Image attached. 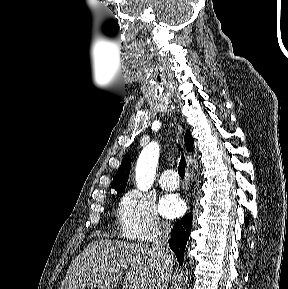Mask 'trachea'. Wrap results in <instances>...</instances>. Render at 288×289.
<instances>
[{"mask_svg": "<svg viewBox=\"0 0 288 289\" xmlns=\"http://www.w3.org/2000/svg\"><path fill=\"white\" fill-rule=\"evenodd\" d=\"M185 168H186V161L185 158L182 156L178 166V174L182 178H184L185 176Z\"/></svg>", "mask_w": 288, "mask_h": 289, "instance_id": "obj_1", "label": "trachea"}]
</instances>
